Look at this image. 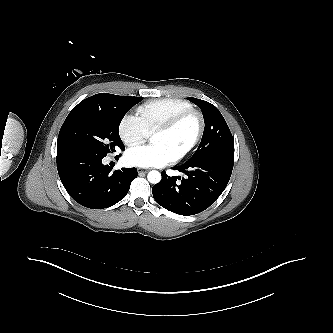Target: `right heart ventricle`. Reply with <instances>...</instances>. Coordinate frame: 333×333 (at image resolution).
<instances>
[{
  "label": "right heart ventricle",
  "mask_w": 333,
  "mask_h": 333,
  "mask_svg": "<svg viewBox=\"0 0 333 333\" xmlns=\"http://www.w3.org/2000/svg\"><path fill=\"white\" fill-rule=\"evenodd\" d=\"M190 102L179 98H160L145 102L138 107L139 118L151 133L175 115L192 109Z\"/></svg>",
  "instance_id": "1"
}]
</instances>
